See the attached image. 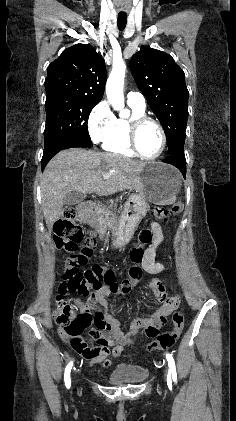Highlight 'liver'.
Masks as SVG:
<instances>
[{"label":"liver","mask_w":236,"mask_h":421,"mask_svg":"<svg viewBox=\"0 0 236 421\" xmlns=\"http://www.w3.org/2000/svg\"><path fill=\"white\" fill-rule=\"evenodd\" d=\"M142 166L144 162L111 152L60 150L49 160L41 178L42 211L49 233L63 213L67 192L80 190L107 196L126 188L142 190ZM103 174H110V178H103Z\"/></svg>","instance_id":"1"}]
</instances>
